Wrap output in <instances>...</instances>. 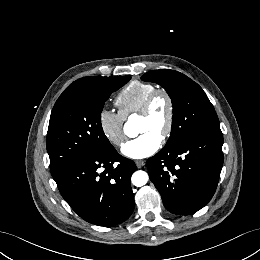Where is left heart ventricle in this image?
<instances>
[{"label": "left heart ventricle", "instance_id": "1", "mask_svg": "<svg viewBox=\"0 0 260 260\" xmlns=\"http://www.w3.org/2000/svg\"><path fill=\"white\" fill-rule=\"evenodd\" d=\"M168 104L164 97L155 99L148 116L138 117V133L153 132L161 137V132L166 124Z\"/></svg>", "mask_w": 260, "mask_h": 260}]
</instances>
